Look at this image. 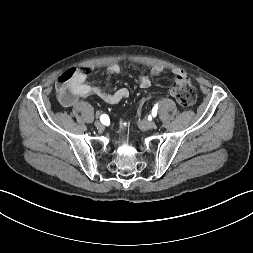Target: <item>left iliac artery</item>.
I'll return each mask as SVG.
<instances>
[{
  "label": "left iliac artery",
  "instance_id": "left-iliac-artery-1",
  "mask_svg": "<svg viewBox=\"0 0 253 253\" xmlns=\"http://www.w3.org/2000/svg\"><path fill=\"white\" fill-rule=\"evenodd\" d=\"M157 110H158V104H156V105L153 107V109H152V114H153V116H156Z\"/></svg>",
  "mask_w": 253,
  "mask_h": 253
}]
</instances>
